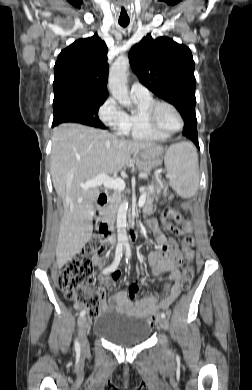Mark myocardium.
Instances as JSON below:
<instances>
[{
	"instance_id": "obj_1",
	"label": "myocardium",
	"mask_w": 252,
	"mask_h": 390,
	"mask_svg": "<svg viewBox=\"0 0 252 390\" xmlns=\"http://www.w3.org/2000/svg\"><path fill=\"white\" fill-rule=\"evenodd\" d=\"M163 106L169 107L177 115L178 120H179V126L176 129L165 130L159 125V123L157 121V115H158L159 110ZM145 118H146L147 125L149 126V128L151 130H153L154 132H157L159 134H163V135H167V136H170V135L177 133L184 126V119H183V116H182L181 112L179 111V109L175 105H173L169 102H166V101H156L154 104H152L149 107V109L146 111Z\"/></svg>"
}]
</instances>
